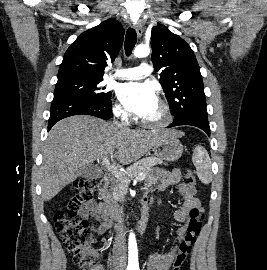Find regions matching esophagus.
I'll return each mask as SVG.
<instances>
[{
  "instance_id": "1",
  "label": "esophagus",
  "mask_w": 267,
  "mask_h": 270,
  "mask_svg": "<svg viewBox=\"0 0 267 270\" xmlns=\"http://www.w3.org/2000/svg\"><path fill=\"white\" fill-rule=\"evenodd\" d=\"M135 30L137 32L138 37H141L143 34V28H142L141 23H136Z\"/></svg>"
}]
</instances>
